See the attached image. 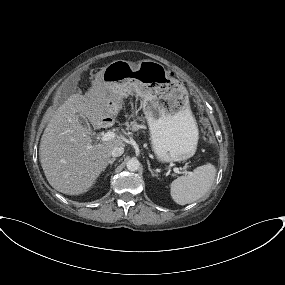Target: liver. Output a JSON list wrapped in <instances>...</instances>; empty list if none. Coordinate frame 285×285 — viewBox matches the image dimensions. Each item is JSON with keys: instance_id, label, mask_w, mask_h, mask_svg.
Wrapping results in <instances>:
<instances>
[{"instance_id": "liver-1", "label": "liver", "mask_w": 285, "mask_h": 285, "mask_svg": "<svg viewBox=\"0 0 285 285\" xmlns=\"http://www.w3.org/2000/svg\"><path fill=\"white\" fill-rule=\"evenodd\" d=\"M104 69L95 75L92 87L84 95H71L56 110L41 138L39 157L46 179L66 195L89 191L109 164L113 148L124 146L121 136L92 144L90 129L77 118L81 114L96 129L122 109L126 95L104 83Z\"/></svg>"}]
</instances>
